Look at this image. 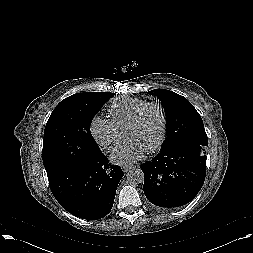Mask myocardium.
Returning <instances> with one entry per match:
<instances>
[{
	"label": "myocardium",
	"mask_w": 253,
	"mask_h": 253,
	"mask_svg": "<svg viewBox=\"0 0 253 253\" xmlns=\"http://www.w3.org/2000/svg\"><path fill=\"white\" fill-rule=\"evenodd\" d=\"M150 107H156L159 110L160 115H161V129H160V134L157 141L147 150V152L149 153L154 152L158 148H160L165 138L166 129H167V117H166V112L163 105L160 104L159 102H154V101L146 102L135 112V114L132 116V118L130 119V121L125 127V131L134 127L140 120L143 113Z\"/></svg>",
	"instance_id": "1"
}]
</instances>
